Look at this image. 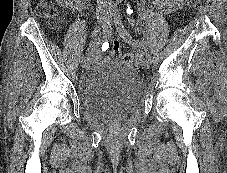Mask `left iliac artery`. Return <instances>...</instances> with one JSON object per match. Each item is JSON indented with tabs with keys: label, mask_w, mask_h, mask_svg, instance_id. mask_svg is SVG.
<instances>
[{
	"label": "left iliac artery",
	"mask_w": 227,
	"mask_h": 173,
	"mask_svg": "<svg viewBox=\"0 0 227 173\" xmlns=\"http://www.w3.org/2000/svg\"><path fill=\"white\" fill-rule=\"evenodd\" d=\"M114 23H115V26H116L117 30H122L124 28V25L122 23V20H121V17H120L119 13H115ZM125 40L128 43H130V44H133V45H135L137 47H140V48L144 49L145 52H146V56L151 59V55L148 52V48H147L146 42L139 41V40H133L132 37L129 34H126Z\"/></svg>",
	"instance_id": "44dca946"
}]
</instances>
